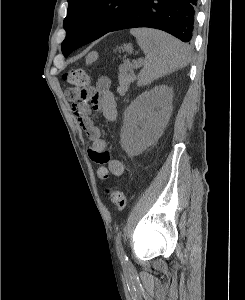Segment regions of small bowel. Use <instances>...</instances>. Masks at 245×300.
<instances>
[{"label":"small bowel","mask_w":245,"mask_h":300,"mask_svg":"<svg viewBox=\"0 0 245 300\" xmlns=\"http://www.w3.org/2000/svg\"><path fill=\"white\" fill-rule=\"evenodd\" d=\"M94 110L107 121L114 122L117 119V105L107 77L99 78L96 84L85 90L73 104V112L90 143L88 155L92 161L100 164L95 165L94 170L98 172L99 181L105 182L110 175L121 177L125 168L120 160L112 158L106 150V141L102 137L101 129L95 123Z\"/></svg>","instance_id":"small-bowel-1"}]
</instances>
